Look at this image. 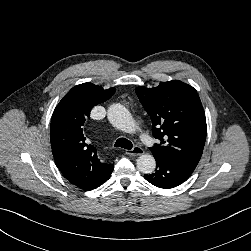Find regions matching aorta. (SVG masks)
<instances>
[{
	"instance_id": "obj_1",
	"label": "aorta",
	"mask_w": 251,
	"mask_h": 251,
	"mask_svg": "<svg viewBox=\"0 0 251 251\" xmlns=\"http://www.w3.org/2000/svg\"><path fill=\"white\" fill-rule=\"evenodd\" d=\"M108 120L117 129L132 133L136 129V123L129 110L120 103H114L108 108ZM137 168L144 174H151L156 168V161L150 154H143L137 159Z\"/></svg>"
}]
</instances>
